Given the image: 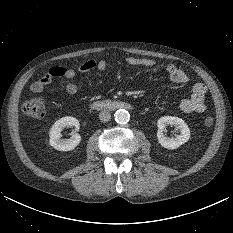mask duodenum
I'll return each mask as SVG.
<instances>
[{
  "label": "duodenum",
  "instance_id": "410a0bca",
  "mask_svg": "<svg viewBox=\"0 0 233 233\" xmlns=\"http://www.w3.org/2000/svg\"><path fill=\"white\" fill-rule=\"evenodd\" d=\"M92 107L95 109L118 110L123 108H131V105L123 101L107 100L94 102Z\"/></svg>",
  "mask_w": 233,
  "mask_h": 233
}]
</instances>
